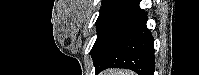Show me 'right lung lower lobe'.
<instances>
[{
	"label": "right lung lower lobe",
	"mask_w": 199,
	"mask_h": 75,
	"mask_svg": "<svg viewBox=\"0 0 199 75\" xmlns=\"http://www.w3.org/2000/svg\"><path fill=\"white\" fill-rule=\"evenodd\" d=\"M140 0H130L108 27L93 53L95 74L106 68H126L139 75H154L153 37L147 29V13Z\"/></svg>",
	"instance_id": "1"
}]
</instances>
